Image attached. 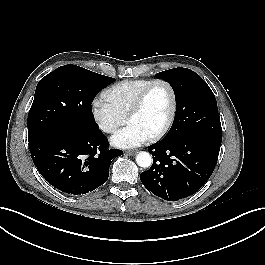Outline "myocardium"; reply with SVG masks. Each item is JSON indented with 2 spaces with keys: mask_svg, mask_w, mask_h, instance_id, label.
Returning a JSON list of instances; mask_svg holds the SVG:
<instances>
[{
  "mask_svg": "<svg viewBox=\"0 0 265 265\" xmlns=\"http://www.w3.org/2000/svg\"><path fill=\"white\" fill-rule=\"evenodd\" d=\"M156 85H163L167 88V90L169 91V94H170V98H171V106H170V111H169L168 117L166 119V122L164 123V125L162 126V128L158 132H156L154 135H152L150 137L151 141H157V140H160L161 138H163L169 132V130H170V128L174 122L176 111H177V97H176L175 89L172 86V84L170 82H168L167 80H164V79L152 80L139 93V95L135 99V101H134L133 105L131 106V108L128 112V115H127V121L129 122L130 119L141 110L149 92Z\"/></svg>",
  "mask_w": 265,
  "mask_h": 265,
  "instance_id": "f54148a6",
  "label": "myocardium"
}]
</instances>
